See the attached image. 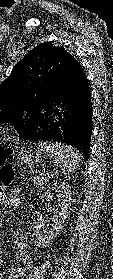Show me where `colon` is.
<instances>
[{
	"instance_id": "5ec220e1",
	"label": "colon",
	"mask_w": 113,
	"mask_h": 279,
	"mask_svg": "<svg viewBox=\"0 0 113 279\" xmlns=\"http://www.w3.org/2000/svg\"><path fill=\"white\" fill-rule=\"evenodd\" d=\"M11 149L0 146V182L5 188H9L15 179L13 167L8 163Z\"/></svg>"
}]
</instances>
